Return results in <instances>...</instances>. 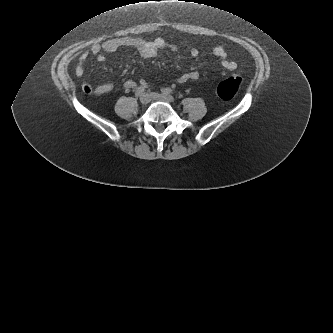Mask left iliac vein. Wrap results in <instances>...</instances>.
Returning a JSON list of instances; mask_svg holds the SVG:
<instances>
[{"mask_svg":"<svg viewBox=\"0 0 333 333\" xmlns=\"http://www.w3.org/2000/svg\"><path fill=\"white\" fill-rule=\"evenodd\" d=\"M151 97H152L154 100L164 101V102H167V103H170V102H173V101H174L173 96H171V95L159 94V93H156V92L151 93Z\"/></svg>","mask_w":333,"mask_h":333,"instance_id":"1","label":"left iliac vein"}]
</instances>
